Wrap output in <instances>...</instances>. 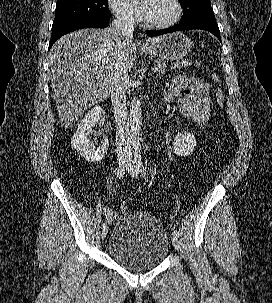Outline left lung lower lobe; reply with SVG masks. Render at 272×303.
Listing matches in <instances>:
<instances>
[{"instance_id":"1","label":"left lung lower lobe","mask_w":272,"mask_h":303,"mask_svg":"<svg viewBox=\"0 0 272 303\" xmlns=\"http://www.w3.org/2000/svg\"><path fill=\"white\" fill-rule=\"evenodd\" d=\"M194 29H201L206 30L214 34L220 41V31L218 28V25L216 23V20H205V21H198V22H190V23H179L173 27L159 30V31H147V35L153 37L158 36L161 34L171 33L175 31H181V30H194Z\"/></svg>"}]
</instances>
